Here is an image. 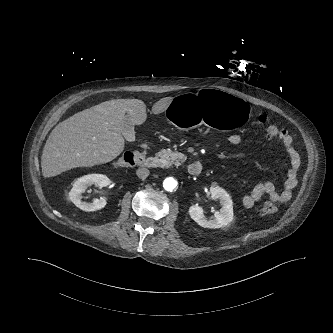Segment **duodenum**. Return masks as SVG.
I'll return each mask as SVG.
<instances>
[{"instance_id":"410a0bca","label":"duodenum","mask_w":333,"mask_h":333,"mask_svg":"<svg viewBox=\"0 0 333 333\" xmlns=\"http://www.w3.org/2000/svg\"><path fill=\"white\" fill-rule=\"evenodd\" d=\"M140 166L146 169H156L161 166V161L156 157H148L141 161ZM202 169V165L199 161H192L188 165V173L192 176H199Z\"/></svg>"}]
</instances>
